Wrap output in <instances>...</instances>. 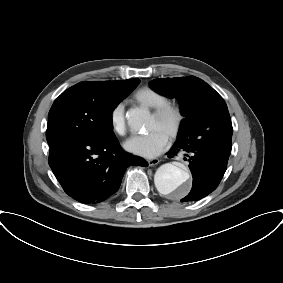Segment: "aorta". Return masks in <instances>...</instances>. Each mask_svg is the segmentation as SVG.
Listing matches in <instances>:
<instances>
[{"label": "aorta", "instance_id": "aorta-1", "mask_svg": "<svg viewBox=\"0 0 283 283\" xmlns=\"http://www.w3.org/2000/svg\"><path fill=\"white\" fill-rule=\"evenodd\" d=\"M127 122L134 131H139L149 118V112L143 109H130L126 114ZM187 168L172 163L162 165L156 171L154 181L159 193L182 197L189 189Z\"/></svg>", "mask_w": 283, "mask_h": 283}]
</instances>
